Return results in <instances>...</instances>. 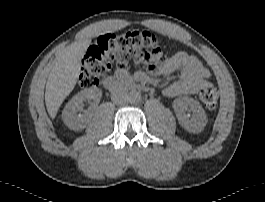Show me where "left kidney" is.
Here are the masks:
<instances>
[{
  "label": "left kidney",
  "instance_id": "left-kidney-1",
  "mask_svg": "<svg viewBox=\"0 0 265 202\" xmlns=\"http://www.w3.org/2000/svg\"><path fill=\"white\" fill-rule=\"evenodd\" d=\"M173 108L179 124L190 133L201 132L206 124V113L201 104L189 97L176 98Z\"/></svg>",
  "mask_w": 265,
  "mask_h": 202
}]
</instances>
